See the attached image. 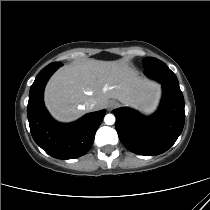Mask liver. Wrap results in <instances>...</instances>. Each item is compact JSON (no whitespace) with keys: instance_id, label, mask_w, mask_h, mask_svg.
I'll use <instances>...</instances> for the list:
<instances>
[{"instance_id":"6515ba94","label":"liver","mask_w":210,"mask_h":210,"mask_svg":"<svg viewBox=\"0 0 210 210\" xmlns=\"http://www.w3.org/2000/svg\"><path fill=\"white\" fill-rule=\"evenodd\" d=\"M160 96L158 85L143 79L116 61L86 60L60 68L45 89V104L59 121L68 122L90 111L86 102L95 100V111L109 99L125 105H153Z\"/></svg>"}]
</instances>
